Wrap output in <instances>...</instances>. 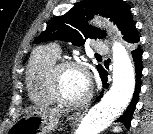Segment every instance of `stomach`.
Here are the masks:
<instances>
[{
	"label": "stomach",
	"instance_id": "obj_1",
	"mask_svg": "<svg viewBox=\"0 0 153 134\" xmlns=\"http://www.w3.org/2000/svg\"><path fill=\"white\" fill-rule=\"evenodd\" d=\"M59 123L58 117L50 118L40 112L27 113L11 126L9 134H51Z\"/></svg>",
	"mask_w": 153,
	"mask_h": 134
}]
</instances>
